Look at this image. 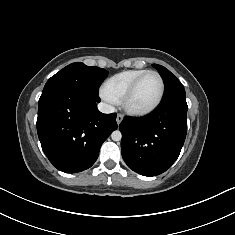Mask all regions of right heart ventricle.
I'll return each mask as SVG.
<instances>
[{
	"label": "right heart ventricle",
	"mask_w": 235,
	"mask_h": 235,
	"mask_svg": "<svg viewBox=\"0 0 235 235\" xmlns=\"http://www.w3.org/2000/svg\"><path fill=\"white\" fill-rule=\"evenodd\" d=\"M146 71V69H131L119 72L108 78L102 88L111 95L116 102L121 101L132 82Z\"/></svg>",
	"instance_id": "obj_1"
}]
</instances>
